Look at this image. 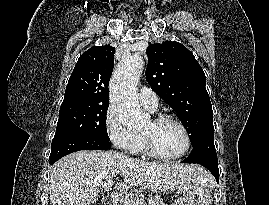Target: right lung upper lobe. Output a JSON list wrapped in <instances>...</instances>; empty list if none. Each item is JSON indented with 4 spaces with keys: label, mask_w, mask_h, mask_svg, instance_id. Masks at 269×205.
Wrapping results in <instances>:
<instances>
[{
    "label": "right lung upper lobe",
    "mask_w": 269,
    "mask_h": 205,
    "mask_svg": "<svg viewBox=\"0 0 269 205\" xmlns=\"http://www.w3.org/2000/svg\"><path fill=\"white\" fill-rule=\"evenodd\" d=\"M115 48L95 46L78 59L69 78L61 106L109 105V80L114 68Z\"/></svg>",
    "instance_id": "right-lung-upper-lobe-1"
}]
</instances>
